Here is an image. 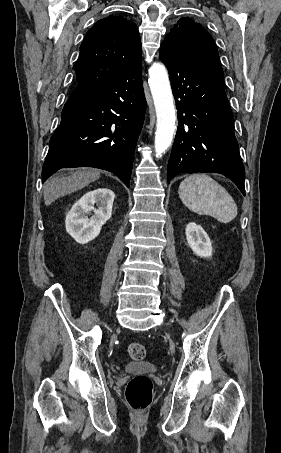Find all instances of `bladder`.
<instances>
[{"instance_id": "1", "label": "bladder", "mask_w": 281, "mask_h": 453, "mask_svg": "<svg viewBox=\"0 0 281 453\" xmlns=\"http://www.w3.org/2000/svg\"><path fill=\"white\" fill-rule=\"evenodd\" d=\"M125 370L134 374H148L155 372V368L145 362H131L125 366Z\"/></svg>"}]
</instances>
